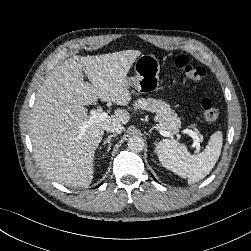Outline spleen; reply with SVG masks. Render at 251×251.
Masks as SVG:
<instances>
[{"instance_id":"3e777b00","label":"spleen","mask_w":251,"mask_h":251,"mask_svg":"<svg viewBox=\"0 0 251 251\" xmlns=\"http://www.w3.org/2000/svg\"><path fill=\"white\" fill-rule=\"evenodd\" d=\"M222 132L211 135L205 150L190 154L184 145H178L174 140L164 139L157 145V155L161 164L173 173L187 178L193 184L206 177L215 166L222 148Z\"/></svg>"}]
</instances>
